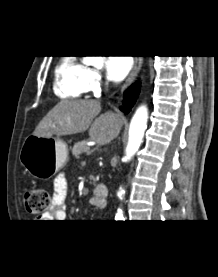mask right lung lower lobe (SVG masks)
Returning <instances> with one entry per match:
<instances>
[{
  "label": "right lung lower lobe",
  "mask_w": 218,
  "mask_h": 277,
  "mask_svg": "<svg viewBox=\"0 0 218 277\" xmlns=\"http://www.w3.org/2000/svg\"><path fill=\"white\" fill-rule=\"evenodd\" d=\"M139 91H140V83L137 82L125 92L124 105L127 112L130 110V107H132L133 104L135 103L138 97ZM121 110L123 109L121 108Z\"/></svg>",
  "instance_id": "right-lung-lower-lobe-1"
}]
</instances>
